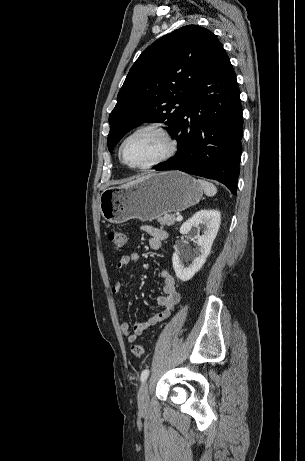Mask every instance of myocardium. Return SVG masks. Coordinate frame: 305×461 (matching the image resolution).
I'll return each instance as SVG.
<instances>
[{
  "mask_svg": "<svg viewBox=\"0 0 305 461\" xmlns=\"http://www.w3.org/2000/svg\"><path fill=\"white\" fill-rule=\"evenodd\" d=\"M146 131H154V132L159 133L161 136H163V138L165 139L167 143V149L159 158L147 164L140 165V166L130 165L129 163L126 162L124 158V153H123L124 146L128 142V140H130L132 137H134L135 135L139 133L146 132ZM176 152H177V142L175 138L171 134L168 127L165 124L159 123V122H151V123H146L141 126H138L123 139V141L121 142L119 146V158L121 162L128 168L134 169V170H147V169L154 168L158 165L165 163L169 159H171L176 154Z\"/></svg>",
  "mask_w": 305,
  "mask_h": 461,
  "instance_id": "f54148a6",
  "label": "myocardium"
}]
</instances>
